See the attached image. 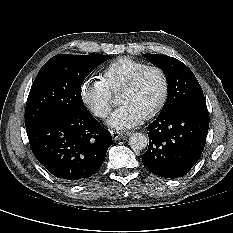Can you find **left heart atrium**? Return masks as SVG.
I'll return each instance as SVG.
<instances>
[{"instance_id": "1", "label": "left heart atrium", "mask_w": 233, "mask_h": 233, "mask_svg": "<svg viewBox=\"0 0 233 233\" xmlns=\"http://www.w3.org/2000/svg\"><path fill=\"white\" fill-rule=\"evenodd\" d=\"M143 116L128 104H122L109 118L108 125L128 129L139 124Z\"/></svg>"}]
</instances>
